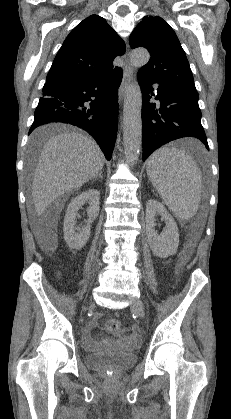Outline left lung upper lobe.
Masks as SVG:
<instances>
[{
	"instance_id": "obj_1",
	"label": "left lung upper lobe",
	"mask_w": 231,
	"mask_h": 419,
	"mask_svg": "<svg viewBox=\"0 0 231 419\" xmlns=\"http://www.w3.org/2000/svg\"><path fill=\"white\" fill-rule=\"evenodd\" d=\"M132 48L145 47L149 62L138 73L159 84L195 90L186 54L173 29L158 16H145L130 35Z\"/></svg>"
}]
</instances>
